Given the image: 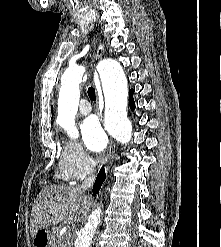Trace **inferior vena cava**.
<instances>
[{
    "instance_id": "obj_1",
    "label": "inferior vena cava",
    "mask_w": 221,
    "mask_h": 247,
    "mask_svg": "<svg viewBox=\"0 0 221 247\" xmlns=\"http://www.w3.org/2000/svg\"><path fill=\"white\" fill-rule=\"evenodd\" d=\"M94 181H95V175L94 174H90L85 179V181L80 185L79 188L82 189V190H87L88 188H90L93 185Z\"/></svg>"
}]
</instances>
